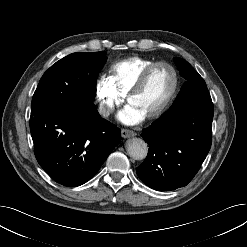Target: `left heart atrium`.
I'll return each mask as SVG.
<instances>
[{"label":"left heart atrium","mask_w":247,"mask_h":247,"mask_svg":"<svg viewBox=\"0 0 247 247\" xmlns=\"http://www.w3.org/2000/svg\"><path fill=\"white\" fill-rule=\"evenodd\" d=\"M118 119L126 125H136L141 123L145 116L133 105H127L118 115Z\"/></svg>","instance_id":"obj_1"}]
</instances>
